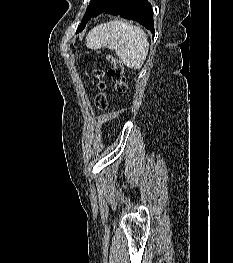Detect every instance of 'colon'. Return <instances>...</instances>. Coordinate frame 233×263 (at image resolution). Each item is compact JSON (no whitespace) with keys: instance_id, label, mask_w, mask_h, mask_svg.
<instances>
[{"instance_id":"colon-1","label":"colon","mask_w":233,"mask_h":263,"mask_svg":"<svg viewBox=\"0 0 233 263\" xmlns=\"http://www.w3.org/2000/svg\"><path fill=\"white\" fill-rule=\"evenodd\" d=\"M107 60L110 64L109 69L107 70L108 78L114 83L115 90L117 91V93H119L122 96L126 95L128 91V86L122 63L113 55H107ZM103 75L104 73L101 70L95 71V76L97 78L95 88L97 90V93L94 101L96 107L100 110L106 109L108 104L107 97L105 94V83L101 79Z\"/></svg>"}]
</instances>
